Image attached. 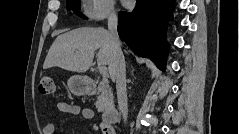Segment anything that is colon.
<instances>
[{
	"mask_svg": "<svg viewBox=\"0 0 239 134\" xmlns=\"http://www.w3.org/2000/svg\"><path fill=\"white\" fill-rule=\"evenodd\" d=\"M38 89L41 94H51L54 92L55 85L54 80L49 75H41L39 78ZM104 134H112L109 128L103 129Z\"/></svg>",
	"mask_w": 239,
	"mask_h": 134,
	"instance_id": "1",
	"label": "colon"
}]
</instances>
